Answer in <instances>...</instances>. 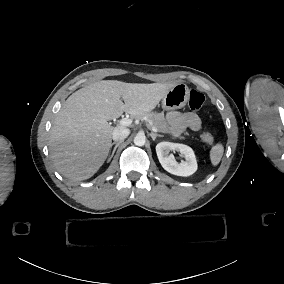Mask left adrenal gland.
I'll return each mask as SVG.
<instances>
[{"label": "left adrenal gland", "instance_id": "1", "mask_svg": "<svg viewBox=\"0 0 284 284\" xmlns=\"http://www.w3.org/2000/svg\"><path fill=\"white\" fill-rule=\"evenodd\" d=\"M150 136L152 137V140H153V141H156V138H157V137H164V135L156 134V133H154V132H151V133H150Z\"/></svg>", "mask_w": 284, "mask_h": 284}]
</instances>
